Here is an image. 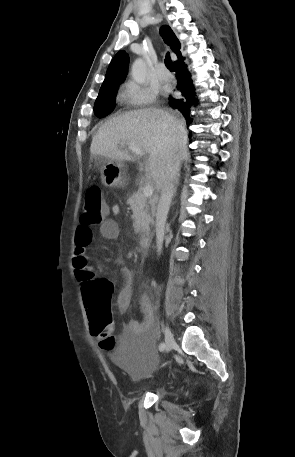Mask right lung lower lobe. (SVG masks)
<instances>
[{
	"instance_id": "right-lung-lower-lobe-1",
	"label": "right lung lower lobe",
	"mask_w": 295,
	"mask_h": 457,
	"mask_svg": "<svg viewBox=\"0 0 295 457\" xmlns=\"http://www.w3.org/2000/svg\"><path fill=\"white\" fill-rule=\"evenodd\" d=\"M178 60L174 62L177 77V90L181 92L182 98L175 99L169 97L170 105L181 111L187 121V125L192 122L190 119L189 112L192 105L197 104L195 98L194 86L190 77V73L187 70V66L183 62L181 53L177 56Z\"/></svg>"
}]
</instances>
